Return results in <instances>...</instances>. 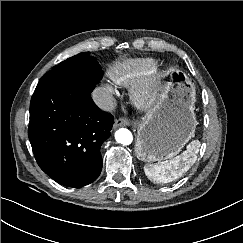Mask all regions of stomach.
I'll list each match as a JSON object with an SVG mask.
<instances>
[{
	"mask_svg": "<svg viewBox=\"0 0 243 243\" xmlns=\"http://www.w3.org/2000/svg\"><path fill=\"white\" fill-rule=\"evenodd\" d=\"M157 101L138 122L135 151L144 162L172 159L194 136L195 87L179 69L165 74Z\"/></svg>",
	"mask_w": 243,
	"mask_h": 243,
	"instance_id": "stomach-1",
	"label": "stomach"
}]
</instances>
